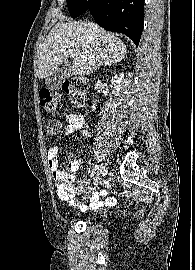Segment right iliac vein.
Masks as SVG:
<instances>
[{"label":"right iliac vein","instance_id":"right-iliac-vein-1","mask_svg":"<svg viewBox=\"0 0 195 270\" xmlns=\"http://www.w3.org/2000/svg\"><path fill=\"white\" fill-rule=\"evenodd\" d=\"M107 174V166L106 164H102L99 168L98 174L94 179L93 186L90 188L94 191L100 184L104 182V177Z\"/></svg>","mask_w":195,"mask_h":270}]
</instances>
